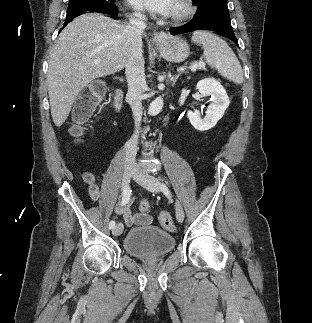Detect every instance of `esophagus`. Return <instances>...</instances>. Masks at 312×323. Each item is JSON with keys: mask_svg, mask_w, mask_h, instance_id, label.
<instances>
[{"mask_svg": "<svg viewBox=\"0 0 312 323\" xmlns=\"http://www.w3.org/2000/svg\"><path fill=\"white\" fill-rule=\"evenodd\" d=\"M166 38H167V35L165 32H157L153 35L152 41L156 44H160L161 42L166 40Z\"/></svg>", "mask_w": 312, "mask_h": 323, "instance_id": "1", "label": "esophagus"}]
</instances>
